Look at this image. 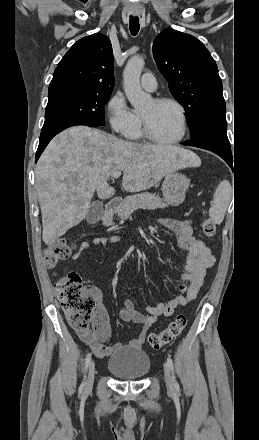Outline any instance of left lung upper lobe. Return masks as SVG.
<instances>
[{"instance_id":"5c2ea615","label":"left lung upper lobe","mask_w":259,"mask_h":440,"mask_svg":"<svg viewBox=\"0 0 259 440\" xmlns=\"http://www.w3.org/2000/svg\"><path fill=\"white\" fill-rule=\"evenodd\" d=\"M153 56L172 95L183 105L191 138L212 127H225L226 105L217 65L197 38L173 29L153 42Z\"/></svg>"}]
</instances>
